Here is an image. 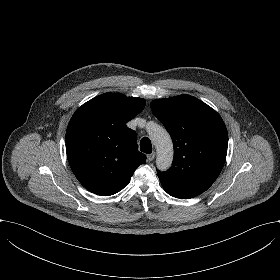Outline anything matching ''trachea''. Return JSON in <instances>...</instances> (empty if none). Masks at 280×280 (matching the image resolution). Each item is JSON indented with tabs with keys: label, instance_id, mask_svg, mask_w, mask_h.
<instances>
[{
	"label": "trachea",
	"instance_id": "trachea-1",
	"mask_svg": "<svg viewBox=\"0 0 280 280\" xmlns=\"http://www.w3.org/2000/svg\"><path fill=\"white\" fill-rule=\"evenodd\" d=\"M140 150L147 154L152 152V145L148 137H143V139H141Z\"/></svg>",
	"mask_w": 280,
	"mask_h": 280
}]
</instances>
